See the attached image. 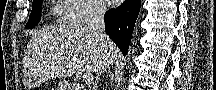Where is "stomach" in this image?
I'll return each mask as SVG.
<instances>
[{
    "mask_svg": "<svg viewBox=\"0 0 216 90\" xmlns=\"http://www.w3.org/2000/svg\"><path fill=\"white\" fill-rule=\"evenodd\" d=\"M70 84L68 82H61L58 85V89L57 90H70Z\"/></svg>",
    "mask_w": 216,
    "mask_h": 90,
    "instance_id": "0dacf381",
    "label": "stomach"
}]
</instances>
